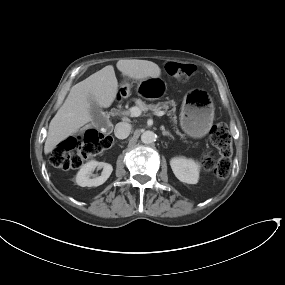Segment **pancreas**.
<instances>
[{
  "instance_id": "1",
  "label": "pancreas",
  "mask_w": 285,
  "mask_h": 285,
  "mask_svg": "<svg viewBox=\"0 0 285 285\" xmlns=\"http://www.w3.org/2000/svg\"><path fill=\"white\" fill-rule=\"evenodd\" d=\"M173 106L174 108L168 112V115L171 116L174 123L177 122L176 116H175V102L174 101H166V102H158L157 104H145L144 102H141L138 104L139 108L142 111H159L160 109H168V107ZM173 115V117H172ZM177 134L183 137V135L177 131Z\"/></svg>"
}]
</instances>
